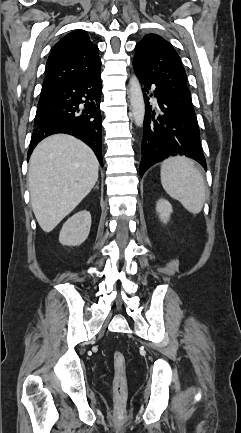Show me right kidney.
Segmentation results:
<instances>
[{
    "label": "right kidney",
    "instance_id": "right-kidney-1",
    "mask_svg": "<svg viewBox=\"0 0 241 433\" xmlns=\"http://www.w3.org/2000/svg\"><path fill=\"white\" fill-rule=\"evenodd\" d=\"M91 227V214L87 210H82L74 214L63 225L59 242L62 245L78 246L88 237Z\"/></svg>",
    "mask_w": 241,
    "mask_h": 433
}]
</instances>
